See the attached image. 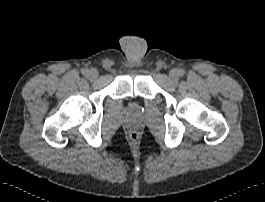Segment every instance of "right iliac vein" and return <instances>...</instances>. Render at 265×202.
Instances as JSON below:
<instances>
[{"mask_svg": "<svg viewBox=\"0 0 265 202\" xmlns=\"http://www.w3.org/2000/svg\"><path fill=\"white\" fill-rule=\"evenodd\" d=\"M97 77H98V72L95 69H92L89 71L88 78L90 80H95V79H97Z\"/></svg>", "mask_w": 265, "mask_h": 202, "instance_id": "obj_1", "label": "right iliac vein"}]
</instances>
